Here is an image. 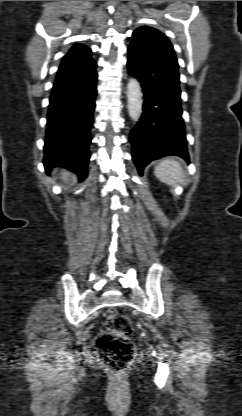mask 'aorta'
Wrapping results in <instances>:
<instances>
[{"mask_svg":"<svg viewBox=\"0 0 242 416\" xmlns=\"http://www.w3.org/2000/svg\"><path fill=\"white\" fill-rule=\"evenodd\" d=\"M127 108L130 118L137 122L142 113V92L136 78H130L127 84Z\"/></svg>","mask_w":242,"mask_h":416,"instance_id":"aorta-1","label":"aorta"}]
</instances>
